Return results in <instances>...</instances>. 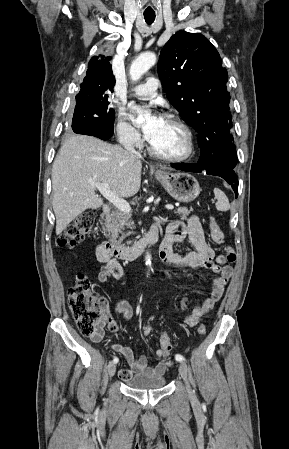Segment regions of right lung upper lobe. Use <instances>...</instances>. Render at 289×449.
Wrapping results in <instances>:
<instances>
[{"label": "right lung upper lobe", "instance_id": "cb5924a9", "mask_svg": "<svg viewBox=\"0 0 289 449\" xmlns=\"http://www.w3.org/2000/svg\"><path fill=\"white\" fill-rule=\"evenodd\" d=\"M110 57L101 58L95 56L89 62L86 77L80 85L79 94H91L97 91H112L115 85V78L112 73Z\"/></svg>", "mask_w": 289, "mask_h": 449}]
</instances>
